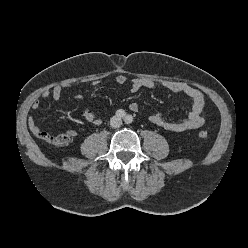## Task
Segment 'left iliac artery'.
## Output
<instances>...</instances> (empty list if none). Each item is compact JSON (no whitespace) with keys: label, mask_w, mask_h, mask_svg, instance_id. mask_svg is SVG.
<instances>
[{"label":"left iliac artery","mask_w":248,"mask_h":248,"mask_svg":"<svg viewBox=\"0 0 248 248\" xmlns=\"http://www.w3.org/2000/svg\"><path fill=\"white\" fill-rule=\"evenodd\" d=\"M132 121H133V117H132L131 115H127V116L125 117V122H126L127 124L132 123Z\"/></svg>","instance_id":"44dca946"}]
</instances>
